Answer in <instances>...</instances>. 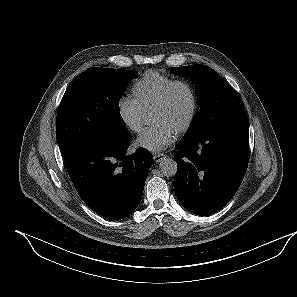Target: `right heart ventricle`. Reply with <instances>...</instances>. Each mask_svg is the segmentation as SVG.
Here are the masks:
<instances>
[{
    "mask_svg": "<svg viewBox=\"0 0 297 297\" xmlns=\"http://www.w3.org/2000/svg\"><path fill=\"white\" fill-rule=\"evenodd\" d=\"M174 80L170 76L148 71L133 84V99L147 113L157 102L164 89Z\"/></svg>",
    "mask_w": 297,
    "mask_h": 297,
    "instance_id": "right-heart-ventricle-1",
    "label": "right heart ventricle"
}]
</instances>
